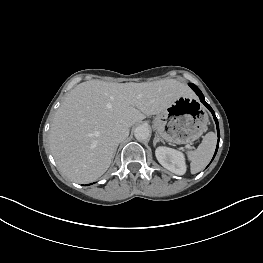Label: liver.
I'll return each instance as SVG.
<instances>
[{"mask_svg": "<svg viewBox=\"0 0 263 263\" xmlns=\"http://www.w3.org/2000/svg\"><path fill=\"white\" fill-rule=\"evenodd\" d=\"M189 95V88L173 79L78 84L62 102L50 128L51 151L60 171L77 183L98 179L109 168L117 149L111 136L115 127L130 128Z\"/></svg>", "mask_w": 263, "mask_h": 263, "instance_id": "6515ba94", "label": "liver"}]
</instances>
